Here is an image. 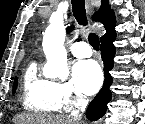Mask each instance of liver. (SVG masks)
Returning a JSON list of instances; mask_svg holds the SVG:
<instances>
[{
    "mask_svg": "<svg viewBox=\"0 0 145 124\" xmlns=\"http://www.w3.org/2000/svg\"><path fill=\"white\" fill-rule=\"evenodd\" d=\"M13 122L15 124H75L73 120L66 117L36 114L17 115Z\"/></svg>",
    "mask_w": 145,
    "mask_h": 124,
    "instance_id": "obj_1",
    "label": "liver"
}]
</instances>
